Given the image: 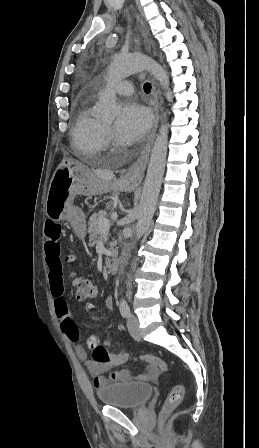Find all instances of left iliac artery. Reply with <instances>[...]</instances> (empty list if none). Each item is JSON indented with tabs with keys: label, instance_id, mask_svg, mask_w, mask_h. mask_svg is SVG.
Here are the masks:
<instances>
[{
	"label": "left iliac artery",
	"instance_id": "left-iliac-artery-1",
	"mask_svg": "<svg viewBox=\"0 0 259 448\" xmlns=\"http://www.w3.org/2000/svg\"><path fill=\"white\" fill-rule=\"evenodd\" d=\"M119 308H120V313L124 318H127L130 316V314H131L130 307L124 298L120 299Z\"/></svg>",
	"mask_w": 259,
	"mask_h": 448
}]
</instances>
